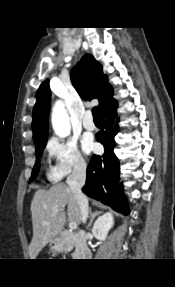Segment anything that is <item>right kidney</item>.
<instances>
[{
    "label": "right kidney",
    "mask_w": 175,
    "mask_h": 287,
    "mask_svg": "<svg viewBox=\"0 0 175 287\" xmlns=\"http://www.w3.org/2000/svg\"><path fill=\"white\" fill-rule=\"evenodd\" d=\"M114 225V218L110 212L100 216L94 223L92 233L98 240H105L109 230Z\"/></svg>",
    "instance_id": "ca27d5eb"
}]
</instances>
